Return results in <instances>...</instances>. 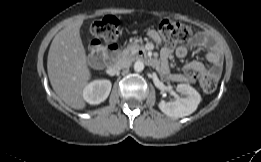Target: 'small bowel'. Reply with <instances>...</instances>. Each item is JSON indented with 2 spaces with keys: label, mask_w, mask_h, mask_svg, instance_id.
<instances>
[{
  "label": "small bowel",
  "mask_w": 261,
  "mask_h": 162,
  "mask_svg": "<svg viewBox=\"0 0 261 162\" xmlns=\"http://www.w3.org/2000/svg\"><path fill=\"white\" fill-rule=\"evenodd\" d=\"M150 38L155 41V42H160V37L157 32L151 31L149 34ZM209 41V36L204 33V32H198L191 44L193 46H205ZM171 49L168 47H164L161 51V57L162 60L160 61L161 63H164V60L171 54ZM188 52V48L186 45H180L176 48L175 54L179 58H183L186 56ZM206 58L208 62L211 64L210 68H207L202 62L193 60L187 63L184 66L185 74L184 76L180 74H175V73H168V76L171 80L173 81H182V80H188L190 82L195 81V75L199 73H209L214 76H219L221 73L222 69V59H221V53L218 47L213 46L206 54ZM165 64V63H164ZM162 71H167V66L164 65L161 68Z\"/></svg>",
  "instance_id": "c3829d8e"
}]
</instances>
